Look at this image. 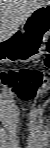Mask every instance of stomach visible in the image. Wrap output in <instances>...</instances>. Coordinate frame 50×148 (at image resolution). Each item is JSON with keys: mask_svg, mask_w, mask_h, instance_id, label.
Segmentation results:
<instances>
[{"mask_svg": "<svg viewBox=\"0 0 50 148\" xmlns=\"http://www.w3.org/2000/svg\"><path fill=\"white\" fill-rule=\"evenodd\" d=\"M24 24V39L0 52L2 63L29 62L43 52L50 37V5L37 9Z\"/></svg>", "mask_w": 50, "mask_h": 148, "instance_id": "0dacf381", "label": "stomach"}]
</instances>
